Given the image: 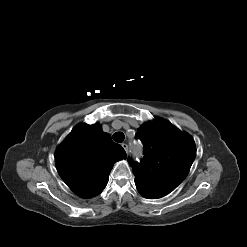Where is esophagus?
Returning <instances> with one entry per match:
<instances>
[{
  "mask_svg": "<svg viewBox=\"0 0 247 247\" xmlns=\"http://www.w3.org/2000/svg\"><path fill=\"white\" fill-rule=\"evenodd\" d=\"M122 147L125 150L126 153H128V145L126 143H122Z\"/></svg>",
  "mask_w": 247,
  "mask_h": 247,
  "instance_id": "34e87169",
  "label": "esophagus"
}]
</instances>
